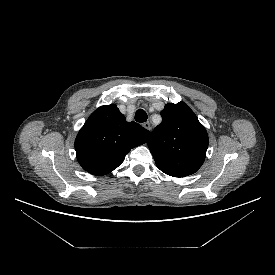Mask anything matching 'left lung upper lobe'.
Returning a JSON list of instances; mask_svg holds the SVG:
<instances>
[{
  "mask_svg": "<svg viewBox=\"0 0 275 275\" xmlns=\"http://www.w3.org/2000/svg\"><path fill=\"white\" fill-rule=\"evenodd\" d=\"M161 116V124L148 141L157 167L173 177L195 173L208 148L206 129L184 102L166 104Z\"/></svg>",
  "mask_w": 275,
  "mask_h": 275,
  "instance_id": "5c2ea615",
  "label": "left lung upper lobe"
}]
</instances>
